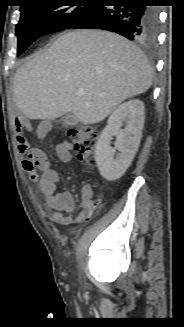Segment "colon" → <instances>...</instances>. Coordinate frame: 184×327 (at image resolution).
I'll return each mask as SVG.
<instances>
[{
  "mask_svg": "<svg viewBox=\"0 0 184 327\" xmlns=\"http://www.w3.org/2000/svg\"><path fill=\"white\" fill-rule=\"evenodd\" d=\"M17 133L18 150L24 154L28 150V144L22 136L24 124L20 120L15 123ZM98 131L92 126H83L68 131V137L73 144L80 161L91 164L95 159V147L98 141Z\"/></svg>",
  "mask_w": 184,
  "mask_h": 327,
  "instance_id": "5ec220e1",
  "label": "colon"
}]
</instances>
